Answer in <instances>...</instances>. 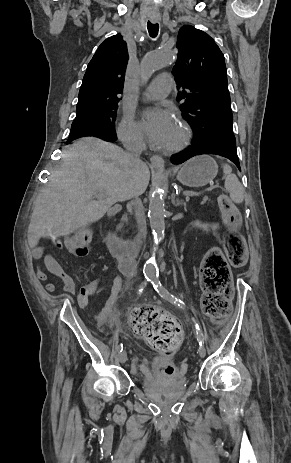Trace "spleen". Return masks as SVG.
<instances>
[{"label":"spleen","instance_id":"obj_1","mask_svg":"<svg viewBox=\"0 0 291 463\" xmlns=\"http://www.w3.org/2000/svg\"><path fill=\"white\" fill-rule=\"evenodd\" d=\"M223 172L225 174V190L229 193L231 200L236 204L242 203L244 200V188L238 177L232 173V168L227 164L223 165Z\"/></svg>","mask_w":291,"mask_h":463}]
</instances>
